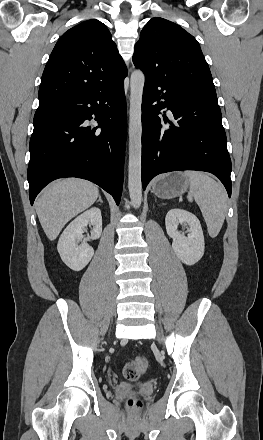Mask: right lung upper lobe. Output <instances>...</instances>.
Here are the masks:
<instances>
[{
	"label": "right lung upper lobe",
	"mask_w": 263,
	"mask_h": 440,
	"mask_svg": "<svg viewBox=\"0 0 263 440\" xmlns=\"http://www.w3.org/2000/svg\"><path fill=\"white\" fill-rule=\"evenodd\" d=\"M127 69L106 25L91 19L66 31L56 43L39 87V107L122 80Z\"/></svg>",
	"instance_id": "1"
}]
</instances>
